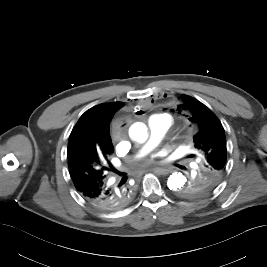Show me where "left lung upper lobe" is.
I'll use <instances>...</instances> for the list:
<instances>
[{
	"label": "left lung upper lobe",
	"mask_w": 267,
	"mask_h": 267,
	"mask_svg": "<svg viewBox=\"0 0 267 267\" xmlns=\"http://www.w3.org/2000/svg\"><path fill=\"white\" fill-rule=\"evenodd\" d=\"M177 110L187 115L197 127L194 135L195 148L202 154L201 171L179 190L184 198H194L212 192L226 170L227 149L224 128L215 114L198 100L181 96Z\"/></svg>",
	"instance_id": "1"
}]
</instances>
